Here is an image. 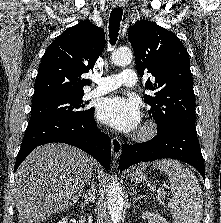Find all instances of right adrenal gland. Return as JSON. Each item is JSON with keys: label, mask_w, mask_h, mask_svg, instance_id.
<instances>
[{"label": "right adrenal gland", "mask_w": 221, "mask_h": 223, "mask_svg": "<svg viewBox=\"0 0 221 223\" xmlns=\"http://www.w3.org/2000/svg\"><path fill=\"white\" fill-rule=\"evenodd\" d=\"M90 186L91 187L88 193L82 194V199L84 200V202L82 203V207L89 204L95 199L96 188L94 182H92Z\"/></svg>", "instance_id": "obj_1"}]
</instances>
